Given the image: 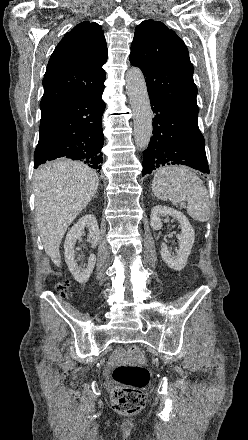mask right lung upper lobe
I'll use <instances>...</instances> for the list:
<instances>
[{
  "label": "right lung upper lobe",
  "mask_w": 248,
  "mask_h": 440,
  "mask_svg": "<svg viewBox=\"0 0 248 440\" xmlns=\"http://www.w3.org/2000/svg\"><path fill=\"white\" fill-rule=\"evenodd\" d=\"M108 58L101 26L84 21L68 32L56 46L43 79L41 111L80 95L104 89L102 66Z\"/></svg>",
  "instance_id": "obj_1"
}]
</instances>
